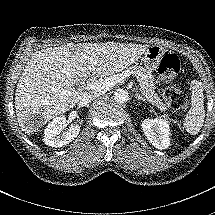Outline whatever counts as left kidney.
Returning <instances> with one entry per match:
<instances>
[{
	"mask_svg": "<svg viewBox=\"0 0 215 215\" xmlns=\"http://www.w3.org/2000/svg\"><path fill=\"white\" fill-rule=\"evenodd\" d=\"M142 129L150 144L156 149L163 150L169 146V129L163 120H145Z\"/></svg>",
	"mask_w": 215,
	"mask_h": 215,
	"instance_id": "1",
	"label": "left kidney"
}]
</instances>
